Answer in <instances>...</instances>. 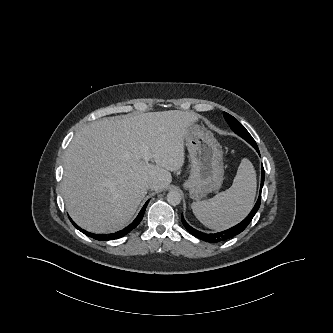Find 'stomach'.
I'll use <instances>...</instances> for the list:
<instances>
[{"instance_id": "1", "label": "stomach", "mask_w": 333, "mask_h": 333, "mask_svg": "<svg viewBox=\"0 0 333 333\" xmlns=\"http://www.w3.org/2000/svg\"><path fill=\"white\" fill-rule=\"evenodd\" d=\"M185 142L191 159V171L184 187L190 198L200 200L218 190L224 179L221 145L203 125L192 124Z\"/></svg>"}]
</instances>
